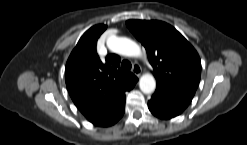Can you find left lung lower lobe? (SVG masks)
<instances>
[{"label": "left lung lower lobe", "mask_w": 247, "mask_h": 145, "mask_svg": "<svg viewBox=\"0 0 247 145\" xmlns=\"http://www.w3.org/2000/svg\"><path fill=\"white\" fill-rule=\"evenodd\" d=\"M191 101L192 97L167 86L157 84L155 93L148 101V107L156 117L170 119L181 114Z\"/></svg>", "instance_id": "obj_1"}]
</instances>
